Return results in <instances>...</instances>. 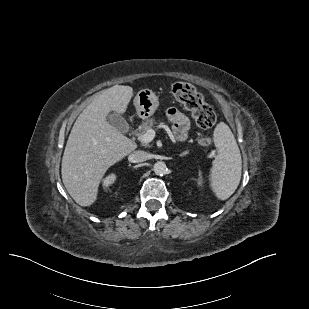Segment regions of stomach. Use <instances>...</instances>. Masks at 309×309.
Returning <instances> with one entry per match:
<instances>
[{
    "label": "stomach",
    "instance_id": "1",
    "mask_svg": "<svg viewBox=\"0 0 309 309\" xmlns=\"http://www.w3.org/2000/svg\"><path fill=\"white\" fill-rule=\"evenodd\" d=\"M133 103L137 115L142 119L151 117L159 106L158 97L150 89L140 90L135 96Z\"/></svg>",
    "mask_w": 309,
    "mask_h": 309
}]
</instances>
